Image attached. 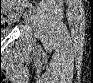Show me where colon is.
Masks as SVG:
<instances>
[{
	"instance_id": "colon-1",
	"label": "colon",
	"mask_w": 93,
	"mask_h": 83,
	"mask_svg": "<svg viewBox=\"0 0 93 83\" xmlns=\"http://www.w3.org/2000/svg\"><path fill=\"white\" fill-rule=\"evenodd\" d=\"M3 2H5V1H3ZM10 4H15L17 1H8ZM0 11H1V14H2V18L4 19V20H7V15L9 14V13H12V14H15L16 13V10H13V9H7L3 4H2V6H1V8H0Z\"/></svg>"
}]
</instances>
